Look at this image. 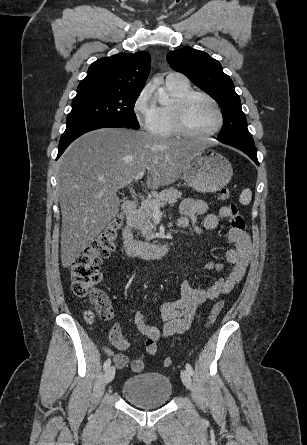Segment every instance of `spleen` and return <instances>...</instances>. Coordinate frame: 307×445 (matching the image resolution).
I'll use <instances>...</instances> for the list:
<instances>
[{"instance_id":"1","label":"spleen","mask_w":307,"mask_h":445,"mask_svg":"<svg viewBox=\"0 0 307 445\" xmlns=\"http://www.w3.org/2000/svg\"><path fill=\"white\" fill-rule=\"evenodd\" d=\"M251 198L252 190H250V188H244L239 196L240 202H242V204H249V202H251Z\"/></svg>"}]
</instances>
